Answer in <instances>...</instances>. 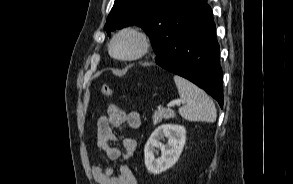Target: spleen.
I'll return each instance as SVG.
<instances>
[{
  "instance_id": "1",
  "label": "spleen",
  "mask_w": 293,
  "mask_h": 184,
  "mask_svg": "<svg viewBox=\"0 0 293 184\" xmlns=\"http://www.w3.org/2000/svg\"><path fill=\"white\" fill-rule=\"evenodd\" d=\"M174 81L180 98L186 103L179 108V114L188 121H216L217 112L211 98L195 84L175 75Z\"/></svg>"
}]
</instances>
